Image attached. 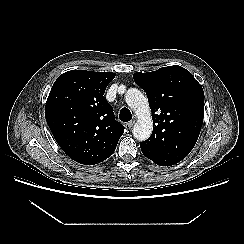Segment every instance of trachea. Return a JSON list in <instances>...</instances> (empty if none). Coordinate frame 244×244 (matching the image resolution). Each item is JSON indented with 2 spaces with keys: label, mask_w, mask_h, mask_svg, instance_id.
<instances>
[{
  "label": "trachea",
  "mask_w": 244,
  "mask_h": 244,
  "mask_svg": "<svg viewBox=\"0 0 244 244\" xmlns=\"http://www.w3.org/2000/svg\"><path fill=\"white\" fill-rule=\"evenodd\" d=\"M119 118L123 122H128L132 119V114L129 109L122 108L119 114Z\"/></svg>",
  "instance_id": "obj_1"
}]
</instances>
